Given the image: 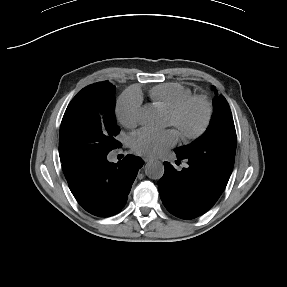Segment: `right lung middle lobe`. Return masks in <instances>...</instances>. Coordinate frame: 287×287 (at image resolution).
<instances>
[{"label":"right lung middle lobe","instance_id":"1","mask_svg":"<svg viewBox=\"0 0 287 287\" xmlns=\"http://www.w3.org/2000/svg\"><path fill=\"white\" fill-rule=\"evenodd\" d=\"M115 86L108 81L86 86L72 99L63 116L59 155L65 177L84 163L121 147L116 136Z\"/></svg>","mask_w":287,"mask_h":287}]
</instances>
